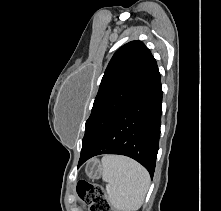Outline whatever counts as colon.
<instances>
[{
	"instance_id": "1",
	"label": "colon",
	"mask_w": 221,
	"mask_h": 211,
	"mask_svg": "<svg viewBox=\"0 0 221 211\" xmlns=\"http://www.w3.org/2000/svg\"><path fill=\"white\" fill-rule=\"evenodd\" d=\"M76 191L89 211H113L105 191L99 185L81 180L77 183Z\"/></svg>"
}]
</instances>
